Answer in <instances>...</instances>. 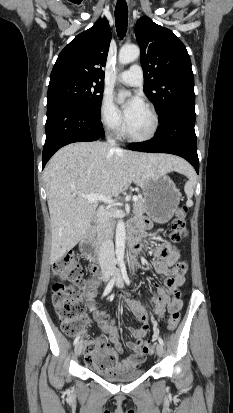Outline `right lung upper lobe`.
<instances>
[{
    "label": "right lung upper lobe",
    "mask_w": 233,
    "mask_h": 413,
    "mask_svg": "<svg viewBox=\"0 0 233 413\" xmlns=\"http://www.w3.org/2000/svg\"><path fill=\"white\" fill-rule=\"evenodd\" d=\"M111 30L105 19H99L88 30L77 35L59 54L50 75V82L78 78L102 83Z\"/></svg>",
    "instance_id": "obj_1"
}]
</instances>
